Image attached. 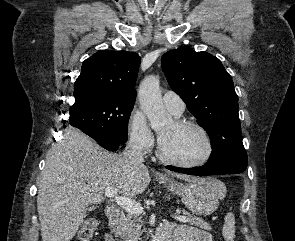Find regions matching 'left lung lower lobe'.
Here are the masks:
<instances>
[{"label":"left lung lower lobe","mask_w":295,"mask_h":241,"mask_svg":"<svg viewBox=\"0 0 295 241\" xmlns=\"http://www.w3.org/2000/svg\"><path fill=\"white\" fill-rule=\"evenodd\" d=\"M167 169L175 172L190 174V175H221V174H239L244 172L242 169H236L223 165H207L196 167V168H178L173 166H166Z\"/></svg>","instance_id":"1"}]
</instances>
